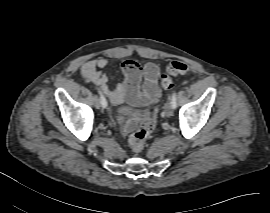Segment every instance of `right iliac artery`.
<instances>
[{
	"mask_svg": "<svg viewBox=\"0 0 270 213\" xmlns=\"http://www.w3.org/2000/svg\"><path fill=\"white\" fill-rule=\"evenodd\" d=\"M96 89L100 95V103L105 108L107 106V101H106L105 97L103 96L102 92L97 87H96Z\"/></svg>",
	"mask_w": 270,
	"mask_h": 213,
	"instance_id": "1",
	"label": "right iliac artery"
}]
</instances>
